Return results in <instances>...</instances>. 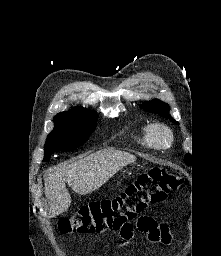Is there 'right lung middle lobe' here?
Masks as SVG:
<instances>
[{"label":"right lung middle lobe","instance_id":"1","mask_svg":"<svg viewBox=\"0 0 221 256\" xmlns=\"http://www.w3.org/2000/svg\"><path fill=\"white\" fill-rule=\"evenodd\" d=\"M97 118V113L88 109L56 115L54 129L48 135L44 146V161L57 150L74 149L83 145L96 128Z\"/></svg>","mask_w":221,"mask_h":256}]
</instances>
